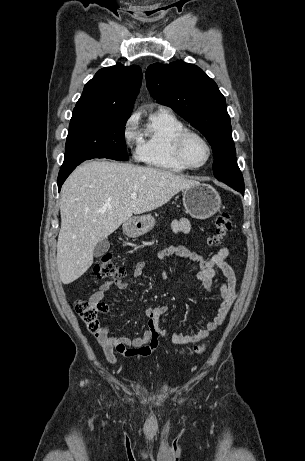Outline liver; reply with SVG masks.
Masks as SVG:
<instances>
[{
  "instance_id": "1",
  "label": "liver",
  "mask_w": 305,
  "mask_h": 461,
  "mask_svg": "<svg viewBox=\"0 0 305 461\" xmlns=\"http://www.w3.org/2000/svg\"><path fill=\"white\" fill-rule=\"evenodd\" d=\"M199 184L171 172L129 163L90 161L74 170L62 187L57 268L63 284L93 264L94 248L133 214L166 204ZM137 193L136 199L131 194Z\"/></svg>"
}]
</instances>
